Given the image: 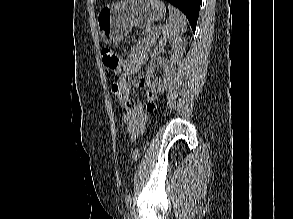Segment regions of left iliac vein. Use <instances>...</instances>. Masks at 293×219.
Returning a JSON list of instances; mask_svg holds the SVG:
<instances>
[{
  "label": "left iliac vein",
  "mask_w": 293,
  "mask_h": 219,
  "mask_svg": "<svg viewBox=\"0 0 293 219\" xmlns=\"http://www.w3.org/2000/svg\"><path fill=\"white\" fill-rule=\"evenodd\" d=\"M130 213H131V211H130ZM128 219H131V216L130 215L128 216Z\"/></svg>",
  "instance_id": "left-iliac-vein-1"
}]
</instances>
